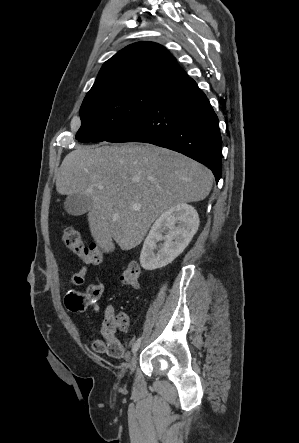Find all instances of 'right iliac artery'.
Returning a JSON list of instances; mask_svg holds the SVG:
<instances>
[{"label":"right iliac artery","mask_w":299,"mask_h":443,"mask_svg":"<svg viewBox=\"0 0 299 443\" xmlns=\"http://www.w3.org/2000/svg\"><path fill=\"white\" fill-rule=\"evenodd\" d=\"M140 344H141V338H138L132 347L133 353H135L138 350V348L140 347Z\"/></svg>","instance_id":"1"}]
</instances>
